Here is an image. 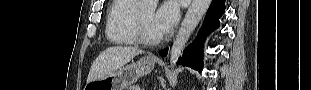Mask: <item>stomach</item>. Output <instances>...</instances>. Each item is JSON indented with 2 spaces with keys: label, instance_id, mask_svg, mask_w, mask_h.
I'll list each match as a JSON object with an SVG mask.
<instances>
[{
  "label": "stomach",
  "instance_id": "stomach-1",
  "mask_svg": "<svg viewBox=\"0 0 311 90\" xmlns=\"http://www.w3.org/2000/svg\"><path fill=\"white\" fill-rule=\"evenodd\" d=\"M156 58L146 56L136 62L125 65L100 80L87 83L85 90H127L140 77L150 73Z\"/></svg>",
  "mask_w": 311,
  "mask_h": 90
}]
</instances>
